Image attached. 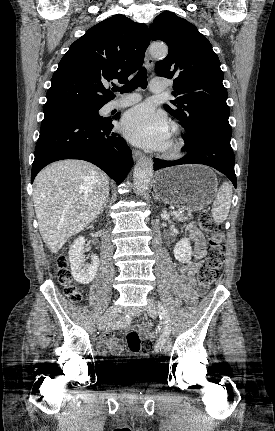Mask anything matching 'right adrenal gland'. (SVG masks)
I'll list each match as a JSON object with an SVG mask.
<instances>
[{"label": "right adrenal gland", "instance_id": "2a0ac1e0", "mask_svg": "<svg viewBox=\"0 0 275 431\" xmlns=\"http://www.w3.org/2000/svg\"><path fill=\"white\" fill-rule=\"evenodd\" d=\"M108 202H109V197H107V198H106V201H105V203H104V205H103V208H102V210H101V213H103L104 208H107Z\"/></svg>", "mask_w": 275, "mask_h": 431}]
</instances>
